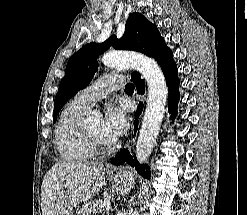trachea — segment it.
Wrapping results in <instances>:
<instances>
[{"label": "trachea", "mask_w": 247, "mask_h": 215, "mask_svg": "<svg viewBox=\"0 0 247 215\" xmlns=\"http://www.w3.org/2000/svg\"><path fill=\"white\" fill-rule=\"evenodd\" d=\"M125 91H134V85L131 83L126 84Z\"/></svg>", "instance_id": "trachea-1"}]
</instances>
